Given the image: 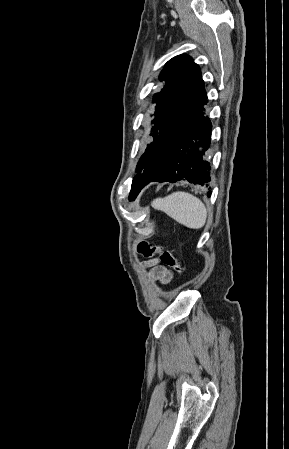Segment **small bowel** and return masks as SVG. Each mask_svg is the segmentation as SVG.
I'll list each match as a JSON object with an SVG mask.
<instances>
[{"instance_id":"small-bowel-1","label":"small bowel","mask_w":289,"mask_h":449,"mask_svg":"<svg viewBox=\"0 0 289 449\" xmlns=\"http://www.w3.org/2000/svg\"><path fill=\"white\" fill-rule=\"evenodd\" d=\"M144 265L150 268L149 276L162 284H168L172 280V272L165 266L159 265L156 258L145 261Z\"/></svg>"}]
</instances>
